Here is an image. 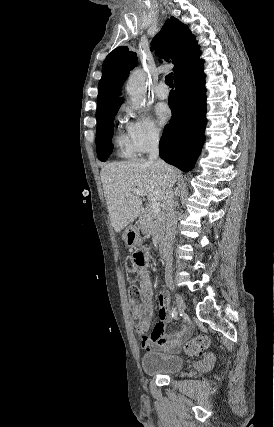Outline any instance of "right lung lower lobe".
Here are the masks:
<instances>
[{"label":"right lung lower lobe","mask_w":274,"mask_h":427,"mask_svg":"<svg viewBox=\"0 0 274 427\" xmlns=\"http://www.w3.org/2000/svg\"><path fill=\"white\" fill-rule=\"evenodd\" d=\"M203 63L175 79L169 97L172 118L164 128L159 155L167 163L187 172L194 167L204 142L206 88Z\"/></svg>","instance_id":"right-lung-lower-lobe-1"}]
</instances>
